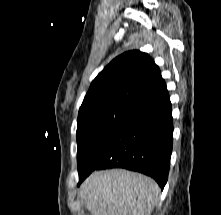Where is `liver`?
<instances>
[{"label": "liver", "instance_id": "obj_1", "mask_svg": "<svg viewBox=\"0 0 221 215\" xmlns=\"http://www.w3.org/2000/svg\"><path fill=\"white\" fill-rule=\"evenodd\" d=\"M91 215H151L160 187L148 176L112 169L91 174L80 187Z\"/></svg>", "mask_w": 221, "mask_h": 215}]
</instances>
